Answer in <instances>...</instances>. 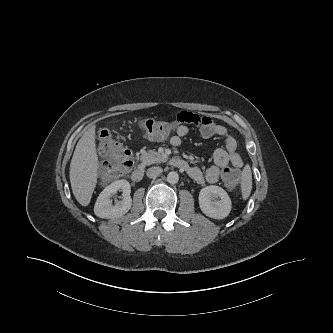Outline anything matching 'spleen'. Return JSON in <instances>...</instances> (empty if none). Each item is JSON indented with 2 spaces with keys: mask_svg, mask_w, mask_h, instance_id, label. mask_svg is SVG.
<instances>
[{
  "mask_svg": "<svg viewBox=\"0 0 333 333\" xmlns=\"http://www.w3.org/2000/svg\"><path fill=\"white\" fill-rule=\"evenodd\" d=\"M241 187L243 200H246L249 197L252 189V175L248 166L244 168Z\"/></svg>",
  "mask_w": 333,
  "mask_h": 333,
  "instance_id": "3e777b00",
  "label": "spleen"
}]
</instances>
